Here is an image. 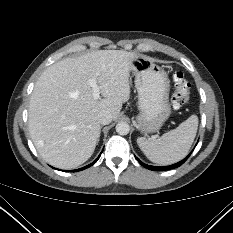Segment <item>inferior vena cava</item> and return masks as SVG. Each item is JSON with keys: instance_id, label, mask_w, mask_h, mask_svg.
<instances>
[{"instance_id": "602c4592", "label": "inferior vena cava", "mask_w": 233, "mask_h": 233, "mask_svg": "<svg viewBox=\"0 0 233 233\" xmlns=\"http://www.w3.org/2000/svg\"><path fill=\"white\" fill-rule=\"evenodd\" d=\"M98 121L102 125H107L112 121V115L109 112L104 111V112L100 113V115L98 117Z\"/></svg>"}]
</instances>
